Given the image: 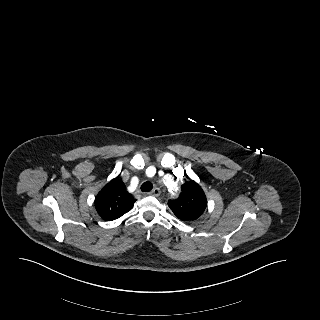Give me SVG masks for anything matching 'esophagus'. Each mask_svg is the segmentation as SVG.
I'll return each instance as SVG.
<instances>
[{
	"label": "esophagus",
	"mask_w": 320,
	"mask_h": 320,
	"mask_svg": "<svg viewBox=\"0 0 320 320\" xmlns=\"http://www.w3.org/2000/svg\"><path fill=\"white\" fill-rule=\"evenodd\" d=\"M160 193H161L160 189L157 188V187H154L149 194H150L151 196H156V197H157V196L160 195Z\"/></svg>",
	"instance_id": "1"
}]
</instances>
